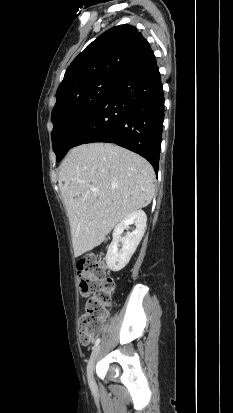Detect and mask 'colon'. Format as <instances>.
Segmentation results:
<instances>
[{
    "mask_svg": "<svg viewBox=\"0 0 233 413\" xmlns=\"http://www.w3.org/2000/svg\"><path fill=\"white\" fill-rule=\"evenodd\" d=\"M77 277L82 295L93 293L79 321V340L87 345L102 328L116 286L114 280L107 275L102 258L97 255H89L78 261Z\"/></svg>",
    "mask_w": 233,
    "mask_h": 413,
    "instance_id": "5ec220e1",
    "label": "colon"
}]
</instances>
